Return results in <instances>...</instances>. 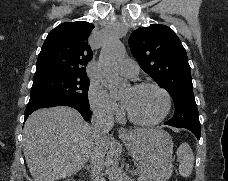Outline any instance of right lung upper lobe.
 <instances>
[{"mask_svg":"<svg viewBox=\"0 0 228 181\" xmlns=\"http://www.w3.org/2000/svg\"><path fill=\"white\" fill-rule=\"evenodd\" d=\"M93 28L91 23L78 21L64 22L50 31L39 53L34 78L52 74L86 76L85 66L92 58L87 41Z\"/></svg>","mask_w":228,"mask_h":181,"instance_id":"1","label":"right lung upper lobe"}]
</instances>
